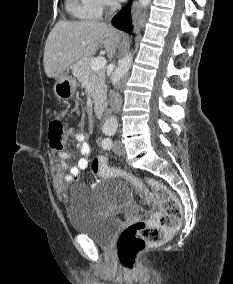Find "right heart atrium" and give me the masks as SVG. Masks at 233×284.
<instances>
[{"instance_id": "1", "label": "right heart atrium", "mask_w": 233, "mask_h": 284, "mask_svg": "<svg viewBox=\"0 0 233 284\" xmlns=\"http://www.w3.org/2000/svg\"><path fill=\"white\" fill-rule=\"evenodd\" d=\"M102 7L111 8L115 5V0H99Z\"/></svg>"}]
</instances>
